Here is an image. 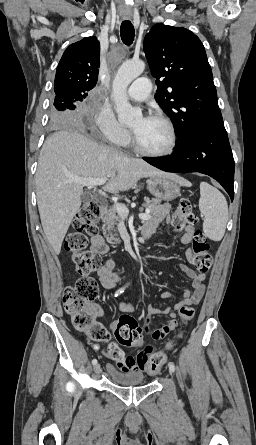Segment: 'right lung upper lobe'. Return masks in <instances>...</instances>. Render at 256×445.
Wrapping results in <instances>:
<instances>
[{
    "instance_id": "obj_1",
    "label": "right lung upper lobe",
    "mask_w": 256,
    "mask_h": 445,
    "mask_svg": "<svg viewBox=\"0 0 256 445\" xmlns=\"http://www.w3.org/2000/svg\"><path fill=\"white\" fill-rule=\"evenodd\" d=\"M100 44L96 37H85L71 44L64 52L56 70L54 91L65 90L87 96L97 83L100 66Z\"/></svg>"
}]
</instances>
